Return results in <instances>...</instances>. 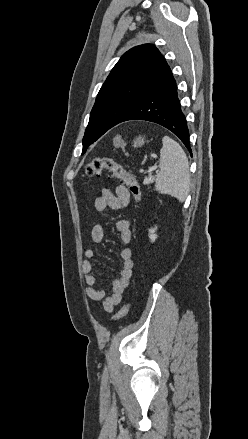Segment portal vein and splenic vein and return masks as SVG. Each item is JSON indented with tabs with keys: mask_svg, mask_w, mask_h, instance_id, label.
I'll return each instance as SVG.
<instances>
[{
	"mask_svg": "<svg viewBox=\"0 0 248 439\" xmlns=\"http://www.w3.org/2000/svg\"><path fill=\"white\" fill-rule=\"evenodd\" d=\"M155 169H156V167H151V168H150V171L155 170ZM148 180L153 181L152 177H149Z\"/></svg>",
	"mask_w": 248,
	"mask_h": 439,
	"instance_id": "obj_1",
	"label": "portal vein and splenic vein"
}]
</instances>
